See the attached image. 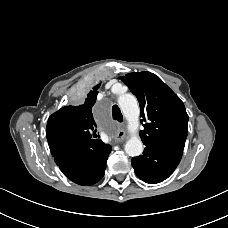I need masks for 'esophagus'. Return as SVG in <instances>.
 Listing matches in <instances>:
<instances>
[{
  "mask_svg": "<svg viewBox=\"0 0 228 228\" xmlns=\"http://www.w3.org/2000/svg\"><path fill=\"white\" fill-rule=\"evenodd\" d=\"M126 137V132L123 128H121L118 133L116 134L115 136V140L118 141V142H121L125 139Z\"/></svg>",
  "mask_w": 228,
  "mask_h": 228,
  "instance_id": "esophagus-1",
  "label": "esophagus"
}]
</instances>
